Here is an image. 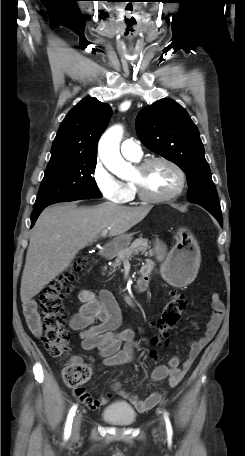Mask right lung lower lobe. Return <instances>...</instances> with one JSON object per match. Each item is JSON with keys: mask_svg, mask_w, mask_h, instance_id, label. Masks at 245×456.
Masks as SVG:
<instances>
[{"mask_svg": "<svg viewBox=\"0 0 245 456\" xmlns=\"http://www.w3.org/2000/svg\"><path fill=\"white\" fill-rule=\"evenodd\" d=\"M77 200V199H75ZM70 201H74V200H70ZM45 207H42V208H37V209H34L33 212H32V215H31V227L35 224V221L37 220L38 216L40 215V213L43 211Z\"/></svg>", "mask_w": 245, "mask_h": 456, "instance_id": "1", "label": "right lung lower lobe"}]
</instances>
